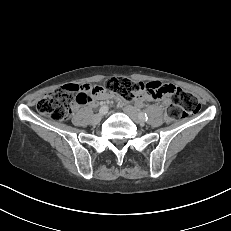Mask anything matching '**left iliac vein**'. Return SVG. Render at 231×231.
<instances>
[{
  "label": "left iliac vein",
  "mask_w": 231,
  "mask_h": 231,
  "mask_svg": "<svg viewBox=\"0 0 231 231\" xmlns=\"http://www.w3.org/2000/svg\"><path fill=\"white\" fill-rule=\"evenodd\" d=\"M124 112L136 123L140 125H144V120L140 118V113L137 112V110L132 106H126L124 108Z\"/></svg>",
  "instance_id": "4c4485c4"
}]
</instances>
